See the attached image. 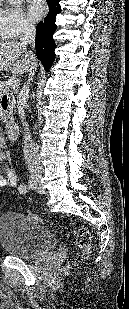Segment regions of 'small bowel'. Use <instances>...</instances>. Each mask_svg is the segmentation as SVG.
Listing matches in <instances>:
<instances>
[{"label": "small bowel", "mask_w": 129, "mask_h": 309, "mask_svg": "<svg viewBox=\"0 0 129 309\" xmlns=\"http://www.w3.org/2000/svg\"><path fill=\"white\" fill-rule=\"evenodd\" d=\"M4 143V138L0 134V148ZM9 155L7 152L0 151V165L3 169V174H0V188L14 187L17 184V176L14 169L8 163Z\"/></svg>", "instance_id": "c3829d8e"}]
</instances>
